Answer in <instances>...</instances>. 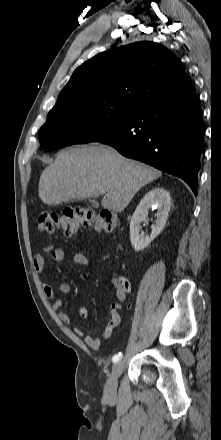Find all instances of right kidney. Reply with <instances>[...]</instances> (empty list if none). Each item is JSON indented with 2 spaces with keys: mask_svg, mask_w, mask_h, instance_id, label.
I'll use <instances>...</instances> for the list:
<instances>
[{
  "mask_svg": "<svg viewBox=\"0 0 221 440\" xmlns=\"http://www.w3.org/2000/svg\"><path fill=\"white\" fill-rule=\"evenodd\" d=\"M171 198L168 191L155 187L141 199L130 222V239L135 251L146 248L163 230L170 211ZM150 208H157L156 221L150 236L140 234V224L148 217Z\"/></svg>",
  "mask_w": 221,
  "mask_h": 440,
  "instance_id": "1",
  "label": "right kidney"
}]
</instances>
